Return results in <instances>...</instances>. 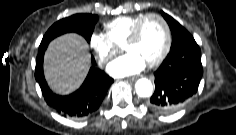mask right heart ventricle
Masks as SVG:
<instances>
[{
  "label": "right heart ventricle",
  "instance_id": "obj_1",
  "mask_svg": "<svg viewBox=\"0 0 236 135\" xmlns=\"http://www.w3.org/2000/svg\"><path fill=\"white\" fill-rule=\"evenodd\" d=\"M144 14L120 16L108 21L105 25V35L117 47L124 44L133 26Z\"/></svg>",
  "mask_w": 236,
  "mask_h": 135
}]
</instances>
